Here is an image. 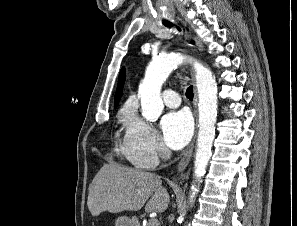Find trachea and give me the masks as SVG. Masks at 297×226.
<instances>
[{
	"mask_svg": "<svg viewBox=\"0 0 297 226\" xmlns=\"http://www.w3.org/2000/svg\"><path fill=\"white\" fill-rule=\"evenodd\" d=\"M164 25L166 27H169V28L173 26V24L170 23V22H166V23H164ZM178 30H180V29L178 28ZM186 96H187V98L189 100H192L193 99V87L192 86H190V87L187 88V90H186Z\"/></svg>",
	"mask_w": 297,
	"mask_h": 226,
	"instance_id": "obj_1",
	"label": "trachea"
}]
</instances>
